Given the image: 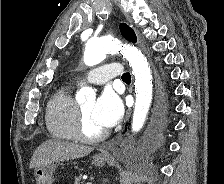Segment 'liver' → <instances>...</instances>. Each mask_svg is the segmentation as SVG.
Here are the masks:
<instances>
[{"mask_svg": "<svg viewBox=\"0 0 224 184\" xmlns=\"http://www.w3.org/2000/svg\"><path fill=\"white\" fill-rule=\"evenodd\" d=\"M92 151L93 148L88 146L50 139L43 142L35 150L29 168L32 169L59 161L81 158L87 156Z\"/></svg>", "mask_w": 224, "mask_h": 184, "instance_id": "6515ba94", "label": "liver"}]
</instances>
